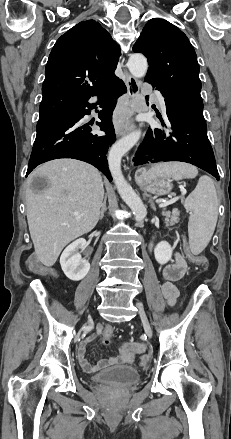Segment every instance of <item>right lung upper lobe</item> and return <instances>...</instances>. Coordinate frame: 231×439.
<instances>
[{
  "mask_svg": "<svg viewBox=\"0 0 231 439\" xmlns=\"http://www.w3.org/2000/svg\"><path fill=\"white\" fill-rule=\"evenodd\" d=\"M119 46L96 21L78 23L55 43L45 68L39 121L107 92L118 80Z\"/></svg>",
  "mask_w": 231,
  "mask_h": 439,
  "instance_id": "cb5924a9",
  "label": "right lung upper lobe"
}]
</instances>
